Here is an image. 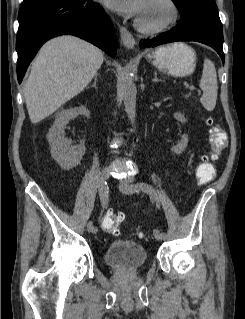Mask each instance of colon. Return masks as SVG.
Returning <instances> with one entry per match:
<instances>
[{
    "label": "colon",
    "instance_id": "obj_1",
    "mask_svg": "<svg viewBox=\"0 0 245 319\" xmlns=\"http://www.w3.org/2000/svg\"><path fill=\"white\" fill-rule=\"evenodd\" d=\"M206 123L210 129V152L202 156V161L196 168L195 176L200 183H208L213 180L216 174L213 162L219 158L227 144V137L224 130L215 123L214 119L208 118ZM124 218V213H110L103 219L102 227L105 231L113 235H118L120 232V223ZM135 233L139 237L143 235L140 229L135 230Z\"/></svg>",
    "mask_w": 245,
    "mask_h": 319
}]
</instances>
